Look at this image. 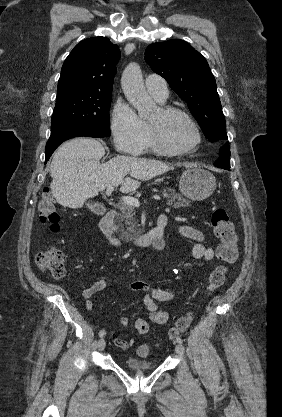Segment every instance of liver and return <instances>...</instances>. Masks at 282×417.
<instances>
[{"label": "liver", "mask_w": 282, "mask_h": 417, "mask_svg": "<svg viewBox=\"0 0 282 417\" xmlns=\"http://www.w3.org/2000/svg\"><path fill=\"white\" fill-rule=\"evenodd\" d=\"M104 154L103 144L89 136H77L63 142L54 152L50 164L53 178L50 188L56 202L69 209H81L87 198L109 186L121 184V192H134L141 184L139 180H150L157 174L173 170V166L162 160L137 156H113L100 164Z\"/></svg>", "instance_id": "obj_1"}]
</instances>
